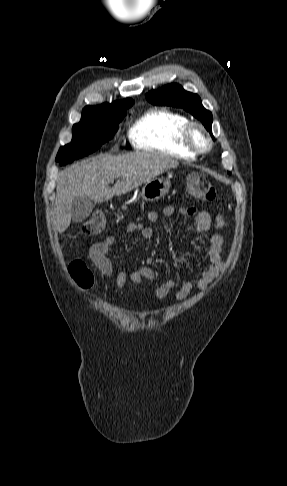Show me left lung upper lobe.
<instances>
[{
	"label": "left lung upper lobe",
	"mask_w": 287,
	"mask_h": 486,
	"mask_svg": "<svg viewBox=\"0 0 287 486\" xmlns=\"http://www.w3.org/2000/svg\"><path fill=\"white\" fill-rule=\"evenodd\" d=\"M146 98L154 105H167L180 107L199 119L205 128L211 132L213 121L212 113L202 106L200 97L185 91L178 84H169L158 90L146 94ZM230 174V172H228Z\"/></svg>",
	"instance_id": "left-lung-upper-lobe-1"
}]
</instances>
